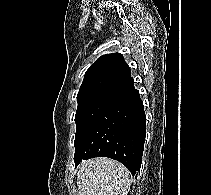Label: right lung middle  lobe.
Returning a JSON list of instances; mask_svg holds the SVG:
<instances>
[{"label":"right lung middle lobe","instance_id":"right-lung-middle-lobe-1","mask_svg":"<svg viewBox=\"0 0 211 195\" xmlns=\"http://www.w3.org/2000/svg\"><path fill=\"white\" fill-rule=\"evenodd\" d=\"M112 95V92L102 90L89 91L77 95L78 108L75 115V122L77 125L74 141L75 149L89 131Z\"/></svg>","mask_w":211,"mask_h":195}]
</instances>
